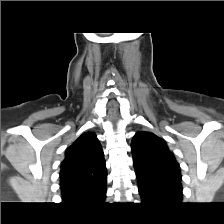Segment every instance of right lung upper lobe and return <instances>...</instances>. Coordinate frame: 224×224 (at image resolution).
Returning a JSON list of instances; mask_svg holds the SVG:
<instances>
[{"label": "right lung upper lobe", "instance_id": "cb5924a9", "mask_svg": "<svg viewBox=\"0 0 224 224\" xmlns=\"http://www.w3.org/2000/svg\"><path fill=\"white\" fill-rule=\"evenodd\" d=\"M61 165L62 199L68 202H97L106 190L104 153L96 134L83 133L67 150Z\"/></svg>", "mask_w": 224, "mask_h": 224}]
</instances>
